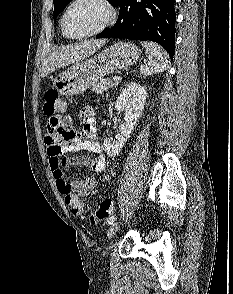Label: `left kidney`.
Instances as JSON below:
<instances>
[{"mask_svg":"<svg viewBox=\"0 0 233 294\" xmlns=\"http://www.w3.org/2000/svg\"><path fill=\"white\" fill-rule=\"evenodd\" d=\"M147 92L144 87L135 82L129 83L118 96L115 109L124 111L125 122L119 125L120 133L116 141L110 138L104 140V150L109 156H115L130 138L134 127L144 109Z\"/></svg>","mask_w":233,"mask_h":294,"instance_id":"1","label":"left kidney"}]
</instances>
